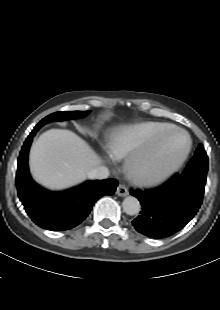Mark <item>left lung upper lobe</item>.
<instances>
[{
    "label": "left lung upper lobe",
    "instance_id": "left-lung-upper-lobe-1",
    "mask_svg": "<svg viewBox=\"0 0 220 310\" xmlns=\"http://www.w3.org/2000/svg\"><path fill=\"white\" fill-rule=\"evenodd\" d=\"M208 171V157L202 144L198 146L194 157L182 172L183 175L206 176Z\"/></svg>",
    "mask_w": 220,
    "mask_h": 310
}]
</instances>
